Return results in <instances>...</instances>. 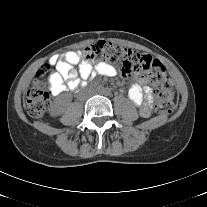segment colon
<instances>
[{"label":"colon","mask_w":207,"mask_h":207,"mask_svg":"<svg viewBox=\"0 0 207 207\" xmlns=\"http://www.w3.org/2000/svg\"><path fill=\"white\" fill-rule=\"evenodd\" d=\"M89 60L101 57L106 61L117 63L122 72L130 76L137 71L148 73L147 82L155 88L154 103L159 112L171 113L174 109L172 83L165 66L148 52L137 53L118 44L100 41L85 50ZM50 67L44 65L26 93L25 107L30 117L38 119L46 112L50 104Z\"/></svg>","instance_id":"5ec220e1"}]
</instances>
